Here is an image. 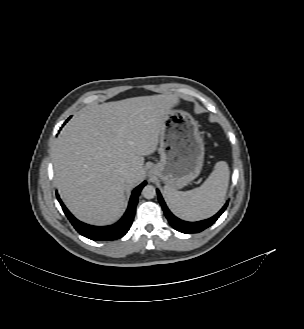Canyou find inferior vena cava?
I'll return each mask as SVG.
<instances>
[{
	"label": "inferior vena cava",
	"mask_w": 304,
	"mask_h": 329,
	"mask_svg": "<svg viewBox=\"0 0 304 329\" xmlns=\"http://www.w3.org/2000/svg\"><path fill=\"white\" fill-rule=\"evenodd\" d=\"M120 173L124 179H128L131 175V172L128 169H122Z\"/></svg>",
	"instance_id": "inferior-vena-cava-1"
}]
</instances>
